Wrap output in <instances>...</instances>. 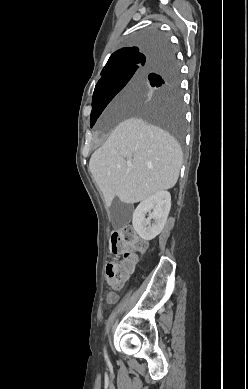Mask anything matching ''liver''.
<instances>
[{
	"instance_id": "obj_1",
	"label": "liver",
	"mask_w": 248,
	"mask_h": 389,
	"mask_svg": "<svg viewBox=\"0 0 248 389\" xmlns=\"http://www.w3.org/2000/svg\"><path fill=\"white\" fill-rule=\"evenodd\" d=\"M132 98L130 84L115 104L127 106L134 102ZM182 162L180 145L172 135L140 118H129L92 154L89 169L109 207L115 197L134 204L172 188Z\"/></svg>"
}]
</instances>
